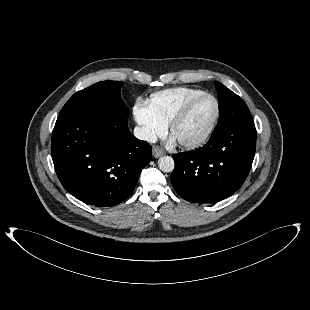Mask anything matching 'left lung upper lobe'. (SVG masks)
Returning a JSON list of instances; mask_svg holds the SVG:
<instances>
[{"label":"left lung upper lobe","mask_w":310,"mask_h":310,"mask_svg":"<svg viewBox=\"0 0 310 310\" xmlns=\"http://www.w3.org/2000/svg\"><path fill=\"white\" fill-rule=\"evenodd\" d=\"M215 86L218 92L220 119L214 131L250 115L247 105L238 95L217 81Z\"/></svg>","instance_id":"left-lung-upper-lobe-1"}]
</instances>
